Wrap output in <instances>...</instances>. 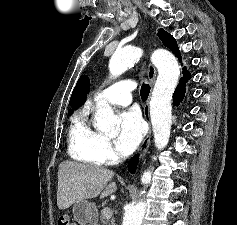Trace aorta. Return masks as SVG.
<instances>
[{
  "mask_svg": "<svg viewBox=\"0 0 237 225\" xmlns=\"http://www.w3.org/2000/svg\"><path fill=\"white\" fill-rule=\"evenodd\" d=\"M143 51L139 47H126L117 50L109 61V71L113 77L124 73L134 65ZM152 63L158 69V77L150 100V117L155 146L162 150L169 142L172 125V95L178 84L180 67L174 55L159 49L153 52ZM96 127L105 134L116 133L117 117L108 104H102L95 113ZM151 172L146 171L141 177L143 184H149ZM146 210L145 203L129 205L125 209L122 225H141Z\"/></svg>",
  "mask_w": 237,
  "mask_h": 225,
  "instance_id": "obj_1",
  "label": "aorta"
}]
</instances>
